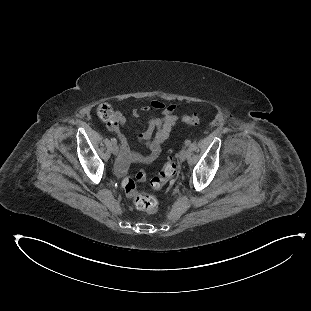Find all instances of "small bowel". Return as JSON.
Segmentation results:
<instances>
[{
	"label": "small bowel",
	"mask_w": 311,
	"mask_h": 311,
	"mask_svg": "<svg viewBox=\"0 0 311 311\" xmlns=\"http://www.w3.org/2000/svg\"><path fill=\"white\" fill-rule=\"evenodd\" d=\"M153 110L160 111L162 116L151 118L148 122L147 129L139 135V142L148 148V153H141L130 149L126 137L120 130V127L125 123V117L123 115L120 114L118 126L111 128L117 134L121 144L120 164L152 163L159 157L161 146L168 138L177 121L174 113L175 105L156 100L149 104L132 108L130 115L133 118H138L141 114Z\"/></svg>",
	"instance_id": "1"
}]
</instances>
